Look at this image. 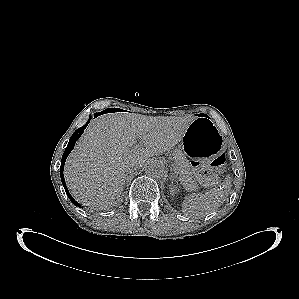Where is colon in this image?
Instances as JSON below:
<instances>
[{
	"instance_id": "obj_1",
	"label": "colon",
	"mask_w": 299,
	"mask_h": 299,
	"mask_svg": "<svg viewBox=\"0 0 299 299\" xmlns=\"http://www.w3.org/2000/svg\"><path fill=\"white\" fill-rule=\"evenodd\" d=\"M192 168L196 177L205 184H213L217 181L218 174L225 168L226 157L218 155L211 162L192 161Z\"/></svg>"
}]
</instances>
